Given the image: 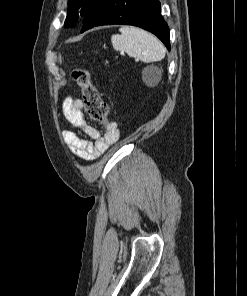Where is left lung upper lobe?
<instances>
[{
	"mask_svg": "<svg viewBox=\"0 0 247 296\" xmlns=\"http://www.w3.org/2000/svg\"><path fill=\"white\" fill-rule=\"evenodd\" d=\"M100 0H68L65 27L76 24L80 16L85 17Z\"/></svg>",
	"mask_w": 247,
	"mask_h": 296,
	"instance_id": "left-lung-upper-lobe-1",
	"label": "left lung upper lobe"
}]
</instances>
